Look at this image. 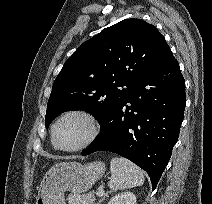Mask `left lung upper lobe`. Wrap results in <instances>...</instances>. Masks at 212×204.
<instances>
[{"mask_svg": "<svg viewBox=\"0 0 212 204\" xmlns=\"http://www.w3.org/2000/svg\"><path fill=\"white\" fill-rule=\"evenodd\" d=\"M169 49L157 28L141 19L104 29L64 63L48 100L46 128L68 110L88 111L101 123Z\"/></svg>", "mask_w": 212, "mask_h": 204, "instance_id": "5c2ea615", "label": "left lung upper lobe"}]
</instances>
